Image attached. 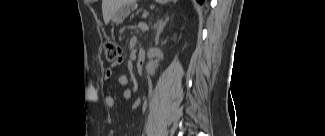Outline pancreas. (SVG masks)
Listing matches in <instances>:
<instances>
[{
    "mask_svg": "<svg viewBox=\"0 0 325 136\" xmlns=\"http://www.w3.org/2000/svg\"><path fill=\"white\" fill-rule=\"evenodd\" d=\"M147 11L145 6H140L139 9H136V12H132V14L130 15V19L129 22L130 24H137L139 22V19L141 18V16H146Z\"/></svg>",
    "mask_w": 325,
    "mask_h": 136,
    "instance_id": "pancreas-1",
    "label": "pancreas"
}]
</instances>
